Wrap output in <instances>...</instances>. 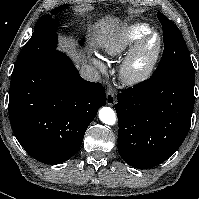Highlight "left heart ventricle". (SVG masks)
<instances>
[{"label": "left heart ventricle", "instance_id": "1", "mask_svg": "<svg viewBox=\"0 0 199 199\" xmlns=\"http://www.w3.org/2000/svg\"><path fill=\"white\" fill-rule=\"evenodd\" d=\"M156 44V38H152L148 44L146 45V47L144 48L141 57H140V63H143L148 56L151 54V52L153 51L154 47Z\"/></svg>", "mask_w": 199, "mask_h": 199}]
</instances>
